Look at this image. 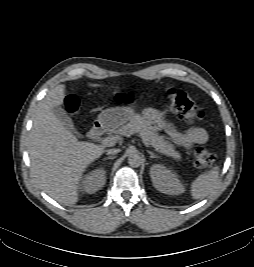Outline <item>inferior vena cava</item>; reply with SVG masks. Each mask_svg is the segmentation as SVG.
Segmentation results:
<instances>
[{"label": "inferior vena cava", "instance_id": "inferior-vena-cava-1", "mask_svg": "<svg viewBox=\"0 0 254 267\" xmlns=\"http://www.w3.org/2000/svg\"><path fill=\"white\" fill-rule=\"evenodd\" d=\"M120 152V149H109L107 150L108 155H114Z\"/></svg>", "mask_w": 254, "mask_h": 267}]
</instances>
